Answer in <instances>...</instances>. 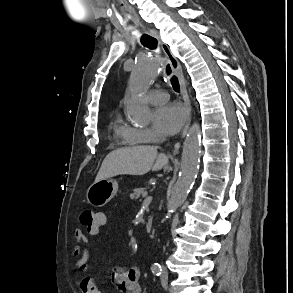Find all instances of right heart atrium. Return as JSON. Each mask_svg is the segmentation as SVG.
Instances as JSON below:
<instances>
[{
	"label": "right heart atrium",
	"instance_id": "right-heart-atrium-1",
	"mask_svg": "<svg viewBox=\"0 0 293 293\" xmlns=\"http://www.w3.org/2000/svg\"><path fill=\"white\" fill-rule=\"evenodd\" d=\"M131 133L133 137L137 138L141 142L151 143L157 141L160 138L157 132L149 128H131Z\"/></svg>",
	"mask_w": 293,
	"mask_h": 293
}]
</instances>
